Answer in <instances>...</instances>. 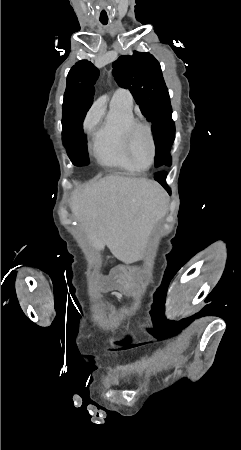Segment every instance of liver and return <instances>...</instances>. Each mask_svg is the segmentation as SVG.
<instances>
[{
    "label": "liver",
    "mask_w": 241,
    "mask_h": 450,
    "mask_svg": "<svg viewBox=\"0 0 241 450\" xmlns=\"http://www.w3.org/2000/svg\"><path fill=\"white\" fill-rule=\"evenodd\" d=\"M74 184L77 188L72 192L70 206L76 220L97 252L108 246L114 256L123 228L137 220L152 222L167 198L157 182L146 178L109 174L98 182Z\"/></svg>",
    "instance_id": "1"
}]
</instances>
